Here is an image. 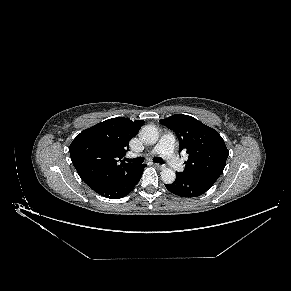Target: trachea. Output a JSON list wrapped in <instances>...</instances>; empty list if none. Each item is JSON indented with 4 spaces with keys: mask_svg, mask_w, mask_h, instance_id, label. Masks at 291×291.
I'll list each match as a JSON object with an SVG mask.
<instances>
[{
    "mask_svg": "<svg viewBox=\"0 0 291 291\" xmlns=\"http://www.w3.org/2000/svg\"><path fill=\"white\" fill-rule=\"evenodd\" d=\"M127 161L133 162V163H137V164H141V163H143L144 159L142 157H138V158H134V159H127ZM153 161L156 162V163H159V164H163L164 163L163 159L160 158V157L153 158Z\"/></svg>",
    "mask_w": 291,
    "mask_h": 291,
    "instance_id": "1",
    "label": "trachea"
}]
</instances>
